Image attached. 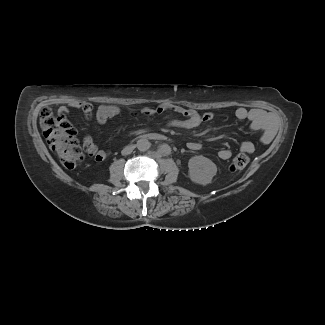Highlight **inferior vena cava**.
I'll return each mask as SVG.
<instances>
[{"mask_svg": "<svg viewBox=\"0 0 325 325\" xmlns=\"http://www.w3.org/2000/svg\"><path fill=\"white\" fill-rule=\"evenodd\" d=\"M134 150V146L130 145V146H126L125 148H123V150L121 151L122 155H129L132 153V151Z\"/></svg>", "mask_w": 325, "mask_h": 325, "instance_id": "1", "label": "inferior vena cava"}]
</instances>
